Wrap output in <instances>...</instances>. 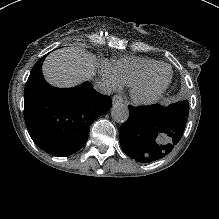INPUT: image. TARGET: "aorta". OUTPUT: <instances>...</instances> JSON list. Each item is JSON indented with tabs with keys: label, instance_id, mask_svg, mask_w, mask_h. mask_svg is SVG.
I'll list each match as a JSON object with an SVG mask.
<instances>
[{
	"label": "aorta",
	"instance_id": "762f6f07",
	"mask_svg": "<svg viewBox=\"0 0 219 219\" xmlns=\"http://www.w3.org/2000/svg\"><path fill=\"white\" fill-rule=\"evenodd\" d=\"M110 111L111 118L117 123H124L129 118V109L121 102L114 103Z\"/></svg>",
	"mask_w": 219,
	"mask_h": 219
}]
</instances>
